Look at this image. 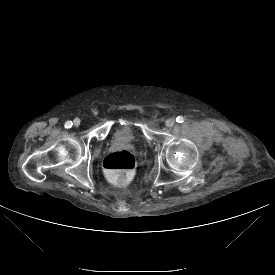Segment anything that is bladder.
Wrapping results in <instances>:
<instances>
[{"mask_svg":"<svg viewBox=\"0 0 275 275\" xmlns=\"http://www.w3.org/2000/svg\"><path fill=\"white\" fill-rule=\"evenodd\" d=\"M136 132L135 121L127 115H120L115 122L113 136L118 140L130 141Z\"/></svg>","mask_w":275,"mask_h":275,"instance_id":"31cf9c89","label":"bladder"}]
</instances>
